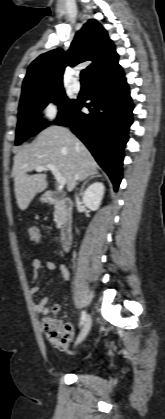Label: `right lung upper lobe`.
<instances>
[{
	"mask_svg": "<svg viewBox=\"0 0 165 419\" xmlns=\"http://www.w3.org/2000/svg\"><path fill=\"white\" fill-rule=\"evenodd\" d=\"M91 60L87 67L89 82L118 66V54L106 30L94 19L79 30L67 52L55 49L43 53L29 66L23 81L20 102L37 94L62 89L66 65Z\"/></svg>",
	"mask_w": 165,
	"mask_h": 419,
	"instance_id": "cb5924a9",
	"label": "right lung upper lobe"
}]
</instances>
